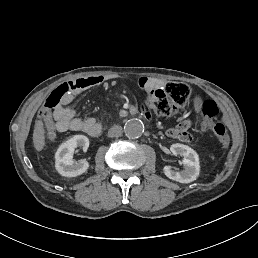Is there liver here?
Returning a JSON list of instances; mask_svg holds the SVG:
<instances>
[{"instance_id":"1","label":"liver","mask_w":258,"mask_h":258,"mask_svg":"<svg viewBox=\"0 0 258 258\" xmlns=\"http://www.w3.org/2000/svg\"><path fill=\"white\" fill-rule=\"evenodd\" d=\"M45 130L42 120H36L34 132H33V143L37 151H41L45 145Z\"/></svg>"}]
</instances>
